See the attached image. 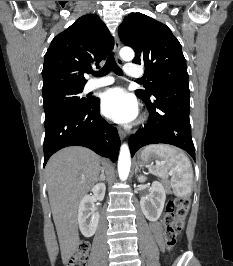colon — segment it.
Instances as JSON below:
<instances>
[{
    "instance_id": "1",
    "label": "colon",
    "mask_w": 233,
    "mask_h": 266,
    "mask_svg": "<svg viewBox=\"0 0 233 266\" xmlns=\"http://www.w3.org/2000/svg\"><path fill=\"white\" fill-rule=\"evenodd\" d=\"M189 206L190 199L188 197L171 199L166 205L163 223L165 226V244L168 249H172L175 246L177 238L184 229ZM88 252V241H80L76 251L66 261V266H86Z\"/></svg>"
}]
</instances>
